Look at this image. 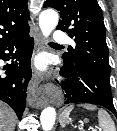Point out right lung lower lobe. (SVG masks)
Segmentation results:
<instances>
[{
    "label": "right lung lower lobe",
    "instance_id": "obj_1",
    "mask_svg": "<svg viewBox=\"0 0 117 131\" xmlns=\"http://www.w3.org/2000/svg\"><path fill=\"white\" fill-rule=\"evenodd\" d=\"M33 45L29 32L0 45V59H12L11 64L0 67V100L10 105L19 119L25 108L27 86L32 76Z\"/></svg>",
    "mask_w": 117,
    "mask_h": 131
}]
</instances>
